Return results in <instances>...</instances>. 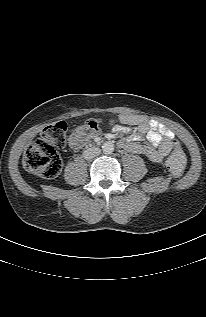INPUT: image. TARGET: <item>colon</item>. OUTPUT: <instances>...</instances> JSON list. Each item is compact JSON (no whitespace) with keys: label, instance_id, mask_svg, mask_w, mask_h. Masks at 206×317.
<instances>
[{"label":"colon","instance_id":"obj_1","mask_svg":"<svg viewBox=\"0 0 206 317\" xmlns=\"http://www.w3.org/2000/svg\"><path fill=\"white\" fill-rule=\"evenodd\" d=\"M100 130L98 119L87 120L77 128L74 136L77 140L85 141ZM67 139V124L60 121L45 127L41 136L36 139L26 150L23 158L25 169L42 178L57 177L62 169V160L57 149L63 148ZM186 165L185 154L176 149L167 159V168L175 175L181 176Z\"/></svg>","mask_w":206,"mask_h":317}]
</instances>
